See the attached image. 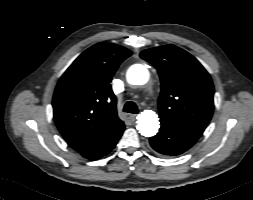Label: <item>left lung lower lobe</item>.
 <instances>
[{"label":"left lung lower lobe","instance_id":"0a47b994","mask_svg":"<svg viewBox=\"0 0 253 200\" xmlns=\"http://www.w3.org/2000/svg\"><path fill=\"white\" fill-rule=\"evenodd\" d=\"M161 127L156 136L150 138L151 147L160 154L176 156L191 148L203 133V129L159 115Z\"/></svg>","mask_w":253,"mask_h":200}]
</instances>
